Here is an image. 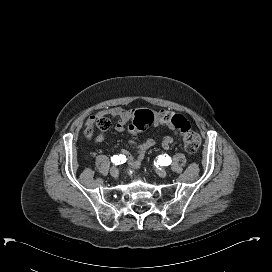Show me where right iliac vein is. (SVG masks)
Returning a JSON list of instances; mask_svg holds the SVG:
<instances>
[{
	"label": "right iliac vein",
	"mask_w": 272,
	"mask_h": 272,
	"mask_svg": "<svg viewBox=\"0 0 272 272\" xmlns=\"http://www.w3.org/2000/svg\"><path fill=\"white\" fill-rule=\"evenodd\" d=\"M118 174H119V171L117 168L113 167L111 170H110V175L113 177V178H117L118 177Z\"/></svg>",
	"instance_id": "obj_1"
}]
</instances>
